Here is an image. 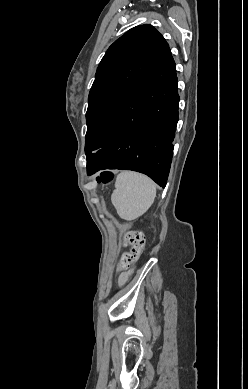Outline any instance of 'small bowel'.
Listing matches in <instances>:
<instances>
[{"label": "small bowel", "instance_id": "small-bowel-1", "mask_svg": "<svg viewBox=\"0 0 248 389\" xmlns=\"http://www.w3.org/2000/svg\"><path fill=\"white\" fill-rule=\"evenodd\" d=\"M127 279V275L123 274L119 277V283L123 284Z\"/></svg>", "mask_w": 248, "mask_h": 389}]
</instances>
